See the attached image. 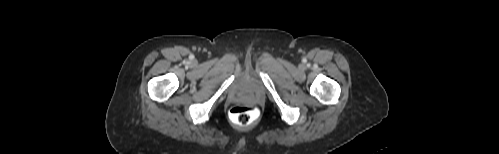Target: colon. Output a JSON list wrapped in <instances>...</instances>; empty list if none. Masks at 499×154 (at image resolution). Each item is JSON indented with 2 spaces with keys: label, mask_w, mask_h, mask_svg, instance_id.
<instances>
[{
  "label": "colon",
  "mask_w": 499,
  "mask_h": 154,
  "mask_svg": "<svg viewBox=\"0 0 499 154\" xmlns=\"http://www.w3.org/2000/svg\"><path fill=\"white\" fill-rule=\"evenodd\" d=\"M229 116L231 121L238 126H247L258 116L257 108L245 102L236 103L230 108Z\"/></svg>",
  "instance_id": "1"
}]
</instances>
